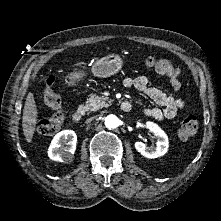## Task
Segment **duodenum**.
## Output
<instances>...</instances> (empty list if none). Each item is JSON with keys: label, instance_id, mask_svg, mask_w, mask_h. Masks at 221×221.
Segmentation results:
<instances>
[{"label": "duodenum", "instance_id": "duodenum-1", "mask_svg": "<svg viewBox=\"0 0 221 221\" xmlns=\"http://www.w3.org/2000/svg\"><path fill=\"white\" fill-rule=\"evenodd\" d=\"M121 110L128 112L131 109V105L129 102L124 101L120 105ZM84 116V110L82 108H79L75 110L71 116V119L73 122H80Z\"/></svg>", "mask_w": 221, "mask_h": 221}]
</instances>
